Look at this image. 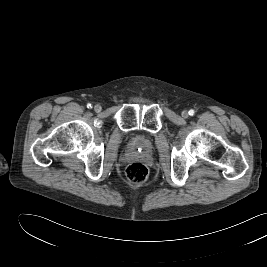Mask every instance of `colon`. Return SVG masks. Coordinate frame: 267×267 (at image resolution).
<instances>
[{
    "mask_svg": "<svg viewBox=\"0 0 267 267\" xmlns=\"http://www.w3.org/2000/svg\"><path fill=\"white\" fill-rule=\"evenodd\" d=\"M148 168L140 162H134L126 168V176L133 183H142L148 177Z\"/></svg>",
    "mask_w": 267,
    "mask_h": 267,
    "instance_id": "colon-1",
    "label": "colon"
}]
</instances>
